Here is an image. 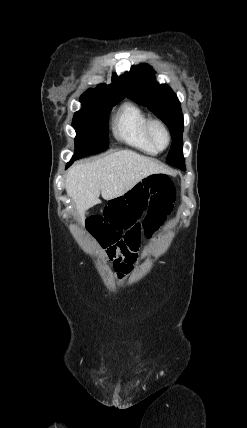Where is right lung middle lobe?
Returning a JSON list of instances; mask_svg holds the SVG:
<instances>
[{
    "label": "right lung middle lobe",
    "mask_w": 247,
    "mask_h": 428,
    "mask_svg": "<svg viewBox=\"0 0 247 428\" xmlns=\"http://www.w3.org/2000/svg\"><path fill=\"white\" fill-rule=\"evenodd\" d=\"M82 108L74 114L72 126L75 137V154L72 159L100 153L108 148L107 119L116 104L80 97Z\"/></svg>",
    "instance_id": "right-lung-middle-lobe-1"
}]
</instances>
